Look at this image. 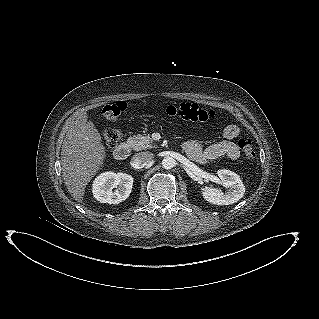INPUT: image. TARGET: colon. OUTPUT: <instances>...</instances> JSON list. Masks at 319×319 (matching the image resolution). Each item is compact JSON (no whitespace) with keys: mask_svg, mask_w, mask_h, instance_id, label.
<instances>
[{"mask_svg":"<svg viewBox=\"0 0 319 319\" xmlns=\"http://www.w3.org/2000/svg\"><path fill=\"white\" fill-rule=\"evenodd\" d=\"M125 109L126 103L118 101L105 105L102 113L107 120H114L118 118ZM164 113L169 117L189 122H205L216 116V113L213 110L206 109L196 103L169 105L164 109ZM121 137V131L118 129L108 128L102 132L103 143L107 147L115 146L121 140ZM238 147L247 158H253L255 156L254 147L250 139L241 138L238 141Z\"/></svg>","mask_w":319,"mask_h":319,"instance_id":"colon-1","label":"colon"}]
</instances>
